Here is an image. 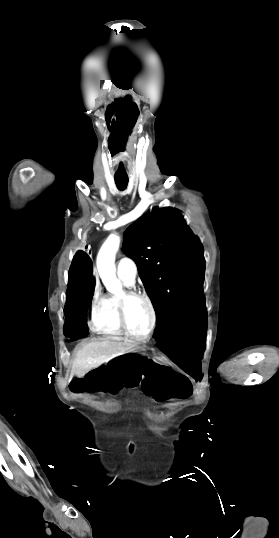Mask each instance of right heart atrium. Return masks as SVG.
I'll use <instances>...</instances> for the list:
<instances>
[{"label": "right heart atrium", "instance_id": "obj_1", "mask_svg": "<svg viewBox=\"0 0 279 538\" xmlns=\"http://www.w3.org/2000/svg\"><path fill=\"white\" fill-rule=\"evenodd\" d=\"M130 219H131V221H133L134 217L132 216ZM100 298H101L100 292L97 289H95V291H94V299H95V301L99 300Z\"/></svg>", "mask_w": 279, "mask_h": 538}]
</instances>
